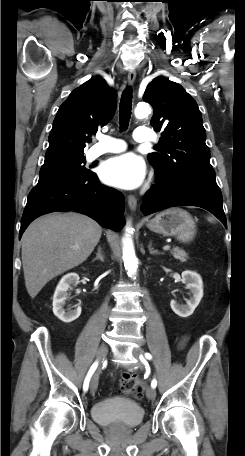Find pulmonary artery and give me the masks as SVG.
<instances>
[{
    "instance_id": "1",
    "label": "pulmonary artery",
    "mask_w": 245,
    "mask_h": 456,
    "mask_svg": "<svg viewBox=\"0 0 245 456\" xmlns=\"http://www.w3.org/2000/svg\"><path fill=\"white\" fill-rule=\"evenodd\" d=\"M133 138L136 142H149L154 139L153 132L145 127L135 129ZM126 149V144L119 139L100 135L98 142L90 149L88 158L94 160L107 153H118Z\"/></svg>"
}]
</instances>
